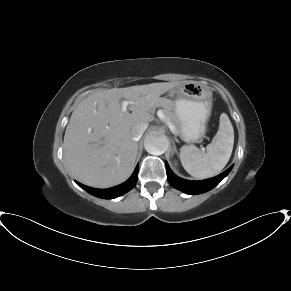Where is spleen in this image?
I'll list each match as a JSON object with an SVG mask.
<instances>
[{
	"label": "spleen",
	"mask_w": 291,
	"mask_h": 291,
	"mask_svg": "<svg viewBox=\"0 0 291 291\" xmlns=\"http://www.w3.org/2000/svg\"><path fill=\"white\" fill-rule=\"evenodd\" d=\"M234 144V130L227 114L220 115L219 129L206 153L196 146L184 145L180 149V159L184 169L193 177L206 179L221 172L228 163Z\"/></svg>",
	"instance_id": "3e777b00"
}]
</instances>
